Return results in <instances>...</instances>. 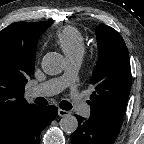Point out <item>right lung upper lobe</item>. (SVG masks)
I'll return each mask as SVG.
<instances>
[{
	"label": "right lung upper lobe",
	"mask_w": 144,
	"mask_h": 144,
	"mask_svg": "<svg viewBox=\"0 0 144 144\" xmlns=\"http://www.w3.org/2000/svg\"><path fill=\"white\" fill-rule=\"evenodd\" d=\"M53 23L17 22L0 31V144L13 135L35 104L24 98L27 77L34 72L36 45Z\"/></svg>",
	"instance_id": "1"
}]
</instances>
